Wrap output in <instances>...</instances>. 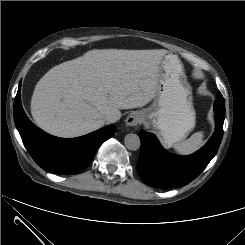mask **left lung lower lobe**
<instances>
[{"label": "left lung lower lobe", "mask_w": 245, "mask_h": 245, "mask_svg": "<svg viewBox=\"0 0 245 245\" xmlns=\"http://www.w3.org/2000/svg\"><path fill=\"white\" fill-rule=\"evenodd\" d=\"M220 92L214 102L215 132L206 145L190 156L168 154L156 137L143 130L139 132L141 150L137 170L143 181L161 189L182 187L194 180L217 153L223 137L225 109Z\"/></svg>", "instance_id": "1"}]
</instances>
